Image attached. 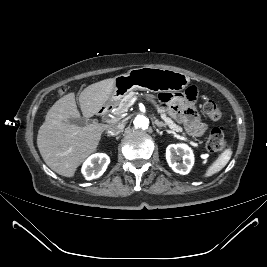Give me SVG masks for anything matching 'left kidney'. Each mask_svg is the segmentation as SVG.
I'll use <instances>...</instances> for the list:
<instances>
[{"label":"left kidney","mask_w":267,"mask_h":267,"mask_svg":"<svg viewBox=\"0 0 267 267\" xmlns=\"http://www.w3.org/2000/svg\"><path fill=\"white\" fill-rule=\"evenodd\" d=\"M181 158L182 163L179 162ZM166 160L174 172L186 175L194 164V154L186 144H171L166 148Z\"/></svg>","instance_id":"obj_1"}]
</instances>
